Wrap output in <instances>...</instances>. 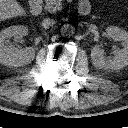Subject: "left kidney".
I'll list each match as a JSON object with an SVG mask.
<instances>
[{
    "label": "left kidney",
    "mask_w": 128,
    "mask_h": 128,
    "mask_svg": "<svg viewBox=\"0 0 128 128\" xmlns=\"http://www.w3.org/2000/svg\"><path fill=\"white\" fill-rule=\"evenodd\" d=\"M108 36L114 41H122L123 48L114 51V58L105 57L104 51L94 46L91 49L92 63L100 69H121L128 65V32L118 27L111 26L106 29Z\"/></svg>",
    "instance_id": "5707ae66"
}]
</instances>
